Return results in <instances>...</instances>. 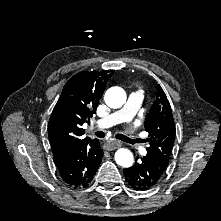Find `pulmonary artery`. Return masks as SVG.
<instances>
[{
	"label": "pulmonary artery",
	"instance_id": "e3ab8cb5",
	"mask_svg": "<svg viewBox=\"0 0 221 221\" xmlns=\"http://www.w3.org/2000/svg\"><path fill=\"white\" fill-rule=\"evenodd\" d=\"M143 100V93L141 90L132 92L129 95L128 101L125 106L108 116L100 119L98 121V128H108L119 123H127L125 132L126 134L133 139V142L137 145H140L141 140L138 135L135 133L133 126L131 125V120L136 113L137 109L140 107ZM143 155H146V151H142Z\"/></svg>",
	"mask_w": 221,
	"mask_h": 221
}]
</instances>
